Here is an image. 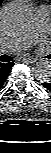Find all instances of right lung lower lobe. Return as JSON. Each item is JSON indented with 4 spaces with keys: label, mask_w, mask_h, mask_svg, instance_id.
Wrapping results in <instances>:
<instances>
[{
    "label": "right lung lower lobe",
    "mask_w": 51,
    "mask_h": 153,
    "mask_svg": "<svg viewBox=\"0 0 51 153\" xmlns=\"http://www.w3.org/2000/svg\"><path fill=\"white\" fill-rule=\"evenodd\" d=\"M13 65H14L13 62H9L6 64L0 63V88L2 87L5 80L7 79V76L9 72L11 71Z\"/></svg>",
    "instance_id": "right-lung-lower-lobe-1"
}]
</instances>
